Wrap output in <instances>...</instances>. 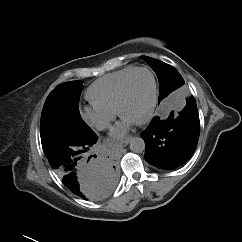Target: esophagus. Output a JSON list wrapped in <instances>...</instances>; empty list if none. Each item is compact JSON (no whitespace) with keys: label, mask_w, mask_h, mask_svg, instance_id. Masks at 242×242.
Instances as JSON below:
<instances>
[{"label":"esophagus","mask_w":242,"mask_h":242,"mask_svg":"<svg viewBox=\"0 0 242 242\" xmlns=\"http://www.w3.org/2000/svg\"><path fill=\"white\" fill-rule=\"evenodd\" d=\"M130 139H131V138L129 137V138L123 140V141H120V142L118 143V146L121 147V148L127 146L128 143L130 142Z\"/></svg>","instance_id":"obj_1"}]
</instances>
